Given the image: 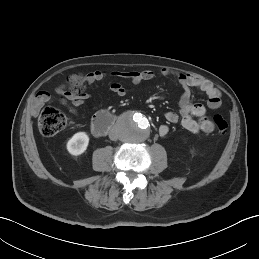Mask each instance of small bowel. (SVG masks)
Masks as SVG:
<instances>
[{
  "instance_id": "1",
  "label": "small bowel",
  "mask_w": 259,
  "mask_h": 259,
  "mask_svg": "<svg viewBox=\"0 0 259 259\" xmlns=\"http://www.w3.org/2000/svg\"><path fill=\"white\" fill-rule=\"evenodd\" d=\"M163 77H168L173 74V71L168 68H163L160 71ZM111 77L113 80L109 83V89L118 96H124L127 89L118 79H126L133 83H141L152 80L155 77L153 71H113L111 73L105 70H95L88 74V83H94ZM178 82L184 88L179 100V114L174 111H168L164 117L169 123H176L181 119L182 126L192 133H211L214 131L212 121L206 116V107L200 103L192 102L191 88H195L204 93L208 100L207 106L211 109H217L221 105V91L216 88L213 83L205 78L192 74H177ZM56 96L49 92L40 91L33 98L31 103V112L37 115L40 109L47 103L58 101L65 106L74 115H79V108L90 99L91 94L88 92L81 93L78 96H70L67 94L64 86H58L55 89ZM159 135L164 137L168 134L169 128L166 125H161L158 129Z\"/></svg>"
}]
</instances>
